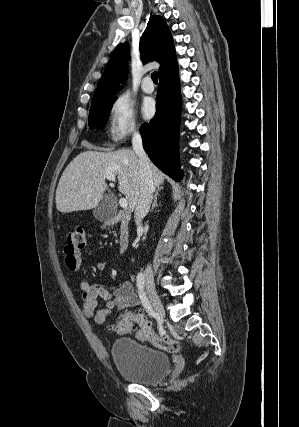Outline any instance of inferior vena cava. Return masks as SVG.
Returning a JSON list of instances; mask_svg holds the SVG:
<instances>
[{"instance_id":"obj_1","label":"inferior vena cava","mask_w":299,"mask_h":427,"mask_svg":"<svg viewBox=\"0 0 299 427\" xmlns=\"http://www.w3.org/2000/svg\"><path fill=\"white\" fill-rule=\"evenodd\" d=\"M132 146L139 160V173L141 177L140 192L134 211L135 222L139 226L149 212L155 186L152 180L150 161L144 151L141 135L136 130L133 131ZM146 273H152L151 266H147Z\"/></svg>"}]
</instances>
